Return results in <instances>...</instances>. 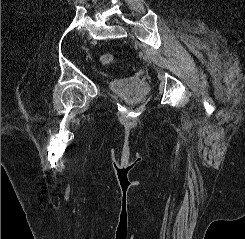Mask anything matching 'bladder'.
<instances>
[{
	"mask_svg": "<svg viewBox=\"0 0 245 239\" xmlns=\"http://www.w3.org/2000/svg\"><path fill=\"white\" fill-rule=\"evenodd\" d=\"M110 90L122 97L129 98L132 101L143 100L151 91V87L142 84L135 78L118 79L109 82Z\"/></svg>",
	"mask_w": 245,
	"mask_h": 239,
	"instance_id": "bladder-1",
	"label": "bladder"
}]
</instances>
